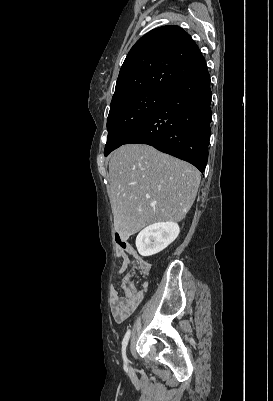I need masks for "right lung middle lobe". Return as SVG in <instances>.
Here are the masks:
<instances>
[{
	"mask_svg": "<svg viewBox=\"0 0 273 401\" xmlns=\"http://www.w3.org/2000/svg\"><path fill=\"white\" fill-rule=\"evenodd\" d=\"M166 93L142 91L111 102L107 118L108 138L104 154L120 147L162 102Z\"/></svg>",
	"mask_w": 273,
	"mask_h": 401,
	"instance_id": "obj_1",
	"label": "right lung middle lobe"
}]
</instances>
